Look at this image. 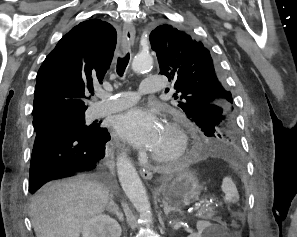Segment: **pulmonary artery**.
I'll return each mask as SVG.
<instances>
[{
  "mask_svg": "<svg viewBox=\"0 0 297 237\" xmlns=\"http://www.w3.org/2000/svg\"><path fill=\"white\" fill-rule=\"evenodd\" d=\"M165 81L158 76L146 77L143 79L139 92L142 94H153L158 92ZM103 100L92 105L93 116H102L115 113L135 105L139 101L138 94L135 91H127L114 96H103Z\"/></svg>",
  "mask_w": 297,
  "mask_h": 237,
  "instance_id": "pulmonary-artery-1",
  "label": "pulmonary artery"
}]
</instances>
